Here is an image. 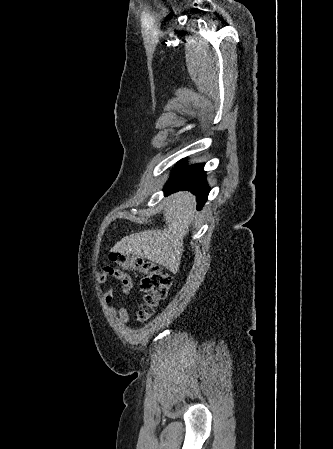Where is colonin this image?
Masks as SVG:
<instances>
[{
  "label": "colon",
  "mask_w": 333,
  "mask_h": 449,
  "mask_svg": "<svg viewBox=\"0 0 333 449\" xmlns=\"http://www.w3.org/2000/svg\"><path fill=\"white\" fill-rule=\"evenodd\" d=\"M109 259L124 270H135L142 275L140 288L145 295L137 318L139 320L147 319L167 296L172 283L170 274L156 264L120 250L112 251L109 254Z\"/></svg>",
  "instance_id": "obj_1"
}]
</instances>
